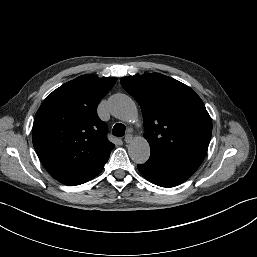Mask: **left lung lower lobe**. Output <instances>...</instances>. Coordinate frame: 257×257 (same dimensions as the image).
Returning <instances> with one entry per match:
<instances>
[{
    "label": "left lung lower lobe",
    "mask_w": 257,
    "mask_h": 257,
    "mask_svg": "<svg viewBox=\"0 0 257 257\" xmlns=\"http://www.w3.org/2000/svg\"><path fill=\"white\" fill-rule=\"evenodd\" d=\"M198 155L164 156L151 153L145 164L137 165L138 170L153 184L174 187L192 176L203 162Z\"/></svg>",
    "instance_id": "obj_1"
}]
</instances>
